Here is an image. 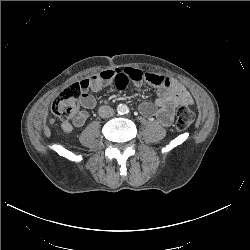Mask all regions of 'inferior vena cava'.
Masks as SVG:
<instances>
[{"label":"inferior vena cava","instance_id":"1","mask_svg":"<svg viewBox=\"0 0 250 250\" xmlns=\"http://www.w3.org/2000/svg\"><path fill=\"white\" fill-rule=\"evenodd\" d=\"M99 115L102 118H108L114 115V110L110 106H101L98 110Z\"/></svg>","mask_w":250,"mask_h":250}]
</instances>
